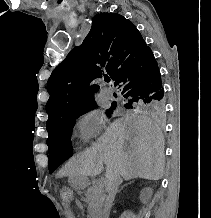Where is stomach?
Listing matches in <instances>:
<instances>
[{"label": "stomach", "mask_w": 211, "mask_h": 218, "mask_svg": "<svg viewBox=\"0 0 211 218\" xmlns=\"http://www.w3.org/2000/svg\"><path fill=\"white\" fill-rule=\"evenodd\" d=\"M69 182L72 187L76 189H82L87 185V178L85 175L74 173L70 175Z\"/></svg>", "instance_id": "obj_1"}]
</instances>
